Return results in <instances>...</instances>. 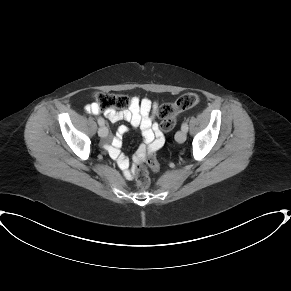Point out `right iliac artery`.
I'll return each instance as SVG.
<instances>
[{"instance_id": "right-iliac-artery-1", "label": "right iliac artery", "mask_w": 291, "mask_h": 291, "mask_svg": "<svg viewBox=\"0 0 291 291\" xmlns=\"http://www.w3.org/2000/svg\"><path fill=\"white\" fill-rule=\"evenodd\" d=\"M97 121L100 126H104L105 122L103 118L99 117Z\"/></svg>"}]
</instances>
